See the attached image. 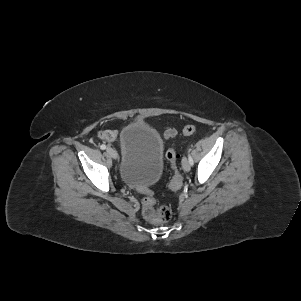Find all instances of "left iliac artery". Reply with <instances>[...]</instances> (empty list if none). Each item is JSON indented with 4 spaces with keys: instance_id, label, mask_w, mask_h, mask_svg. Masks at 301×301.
Listing matches in <instances>:
<instances>
[{
    "instance_id": "1",
    "label": "left iliac artery",
    "mask_w": 301,
    "mask_h": 301,
    "mask_svg": "<svg viewBox=\"0 0 301 301\" xmlns=\"http://www.w3.org/2000/svg\"><path fill=\"white\" fill-rule=\"evenodd\" d=\"M189 152H190V150H188V160H189V163H190L191 165H193L194 162H193V159H192L191 155L189 154Z\"/></svg>"
}]
</instances>
